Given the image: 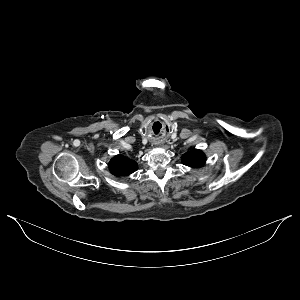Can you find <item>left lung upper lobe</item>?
I'll use <instances>...</instances> for the list:
<instances>
[{"mask_svg": "<svg viewBox=\"0 0 300 300\" xmlns=\"http://www.w3.org/2000/svg\"><path fill=\"white\" fill-rule=\"evenodd\" d=\"M206 156L201 150L193 149L182 156V162L186 166L200 168L205 164Z\"/></svg>", "mask_w": 300, "mask_h": 300, "instance_id": "obj_1", "label": "left lung upper lobe"}]
</instances>
